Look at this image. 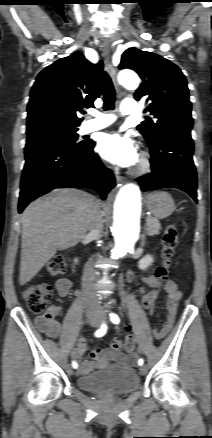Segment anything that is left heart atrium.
<instances>
[{"label":"left heart atrium","instance_id":"left-heart-atrium-1","mask_svg":"<svg viewBox=\"0 0 212 438\" xmlns=\"http://www.w3.org/2000/svg\"><path fill=\"white\" fill-rule=\"evenodd\" d=\"M97 150L103 158L122 167L133 164L137 158L135 144L119 133L101 135Z\"/></svg>","mask_w":212,"mask_h":438}]
</instances>
